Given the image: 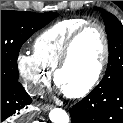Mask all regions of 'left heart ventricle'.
<instances>
[{
    "mask_svg": "<svg viewBox=\"0 0 123 123\" xmlns=\"http://www.w3.org/2000/svg\"><path fill=\"white\" fill-rule=\"evenodd\" d=\"M102 51L100 31L89 28L76 40L69 61L59 74L61 89L72 92L84 87L95 75Z\"/></svg>",
    "mask_w": 123,
    "mask_h": 123,
    "instance_id": "1",
    "label": "left heart ventricle"
}]
</instances>
